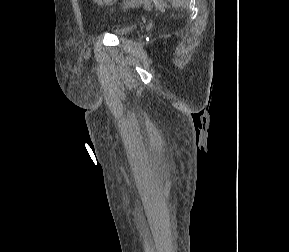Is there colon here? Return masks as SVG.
<instances>
[{
    "mask_svg": "<svg viewBox=\"0 0 289 252\" xmlns=\"http://www.w3.org/2000/svg\"><path fill=\"white\" fill-rule=\"evenodd\" d=\"M128 1V0H127ZM133 4L131 5L129 2H126L124 4V8H129V7H137V6H144V7H148V1L147 0H133L132 1Z\"/></svg>",
    "mask_w": 289,
    "mask_h": 252,
    "instance_id": "1",
    "label": "colon"
}]
</instances>
